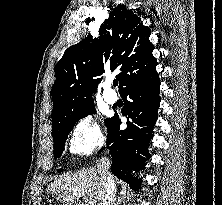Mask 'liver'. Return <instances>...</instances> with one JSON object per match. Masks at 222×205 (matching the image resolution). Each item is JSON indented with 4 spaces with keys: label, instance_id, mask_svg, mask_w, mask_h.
I'll use <instances>...</instances> for the list:
<instances>
[{
    "label": "liver",
    "instance_id": "liver-1",
    "mask_svg": "<svg viewBox=\"0 0 222 205\" xmlns=\"http://www.w3.org/2000/svg\"><path fill=\"white\" fill-rule=\"evenodd\" d=\"M114 181L113 176H111ZM115 182V181H114ZM103 191V182L98 170L86 168L78 172L67 173L54 180L47 188L48 193H56L63 205H73L76 198L83 196L82 205H99ZM83 193V195H78Z\"/></svg>",
    "mask_w": 222,
    "mask_h": 205
}]
</instances>
